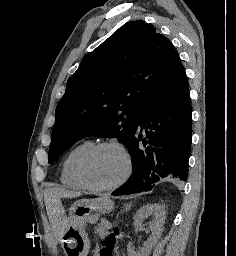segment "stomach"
I'll use <instances>...</instances> for the list:
<instances>
[{"label": "stomach", "mask_w": 236, "mask_h": 256, "mask_svg": "<svg viewBox=\"0 0 236 256\" xmlns=\"http://www.w3.org/2000/svg\"><path fill=\"white\" fill-rule=\"evenodd\" d=\"M112 209L113 202L108 198L81 199L74 202L64 235L66 256H87L90 241L85 232L86 223H96L101 214L109 213Z\"/></svg>", "instance_id": "0dacf381"}]
</instances>
